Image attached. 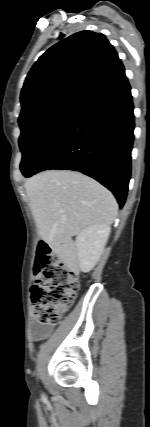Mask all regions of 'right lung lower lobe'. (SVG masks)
Returning <instances> with one entry per match:
<instances>
[{"label": "right lung lower lobe", "instance_id": "98d812e1", "mask_svg": "<svg viewBox=\"0 0 150 427\" xmlns=\"http://www.w3.org/2000/svg\"><path fill=\"white\" fill-rule=\"evenodd\" d=\"M134 125L131 88L124 75L79 106L30 176L49 169L82 172L112 191L122 207L131 175Z\"/></svg>", "mask_w": 150, "mask_h": 427}]
</instances>
